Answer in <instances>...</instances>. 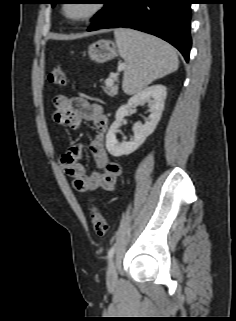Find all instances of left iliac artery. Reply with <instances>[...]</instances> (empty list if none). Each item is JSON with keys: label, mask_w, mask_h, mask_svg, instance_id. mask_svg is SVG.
Returning a JSON list of instances; mask_svg holds the SVG:
<instances>
[{"label": "left iliac artery", "mask_w": 236, "mask_h": 321, "mask_svg": "<svg viewBox=\"0 0 236 321\" xmlns=\"http://www.w3.org/2000/svg\"><path fill=\"white\" fill-rule=\"evenodd\" d=\"M114 252H115V247L112 246V247L110 248V250L108 251V259H109V260L113 257Z\"/></svg>", "instance_id": "left-iliac-artery-1"}]
</instances>
